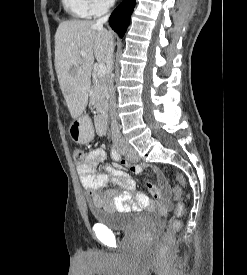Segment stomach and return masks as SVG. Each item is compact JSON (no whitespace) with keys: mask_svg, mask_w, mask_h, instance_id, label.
<instances>
[{"mask_svg":"<svg viewBox=\"0 0 247 275\" xmlns=\"http://www.w3.org/2000/svg\"><path fill=\"white\" fill-rule=\"evenodd\" d=\"M70 136L76 143H86L92 139L91 128L83 125L80 120H75L70 126Z\"/></svg>","mask_w":247,"mask_h":275,"instance_id":"obj_1","label":"stomach"}]
</instances>
